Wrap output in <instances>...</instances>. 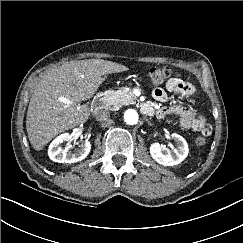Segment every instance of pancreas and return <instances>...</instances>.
<instances>
[{"label":"pancreas","instance_id":"pancreas-1","mask_svg":"<svg viewBox=\"0 0 243 243\" xmlns=\"http://www.w3.org/2000/svg\"><path fill=\"white\" fill-rule=\"evenodd\" d=\"M135 95L133 91L128 89H122L118 91H108L104 96L105 104L108 108L117 110L123 105L133 104Z\"/></svg>","mask_w":243,"mask_h":243}]
</instances>
